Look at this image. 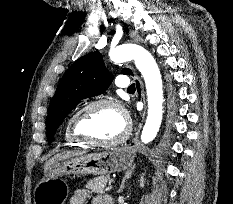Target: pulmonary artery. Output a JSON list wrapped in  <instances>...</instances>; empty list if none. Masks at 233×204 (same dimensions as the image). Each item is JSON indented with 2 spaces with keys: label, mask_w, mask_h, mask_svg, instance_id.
Here are the masks:
<instances>
[{
  "label": "pulmonary artery",
  "mask_w": 233,
  "mask_h": 204,
  "mask_svg": "<svg viewBox=\"0 0 233 204\" xmlns=\"http://www.w3.org/2000/svg\"><path fill=\"white\" fill-rule=\"evenodd\" d=\"M116 85L120 88H128L131 85V80L127 75H120L116 80Z\"/></svg>",
  "instance_id": "e3ab8cb5"
}]
</instances>
